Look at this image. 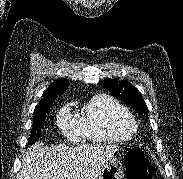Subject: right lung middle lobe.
I'll use <instances>...</instances> for the list:
<instances>
[{
	"label": "right lung middle lobe",
	"instance_id": "dd1d6c3e",
	"mask_svg": "<svg viewBox=\"0 0 183 179\" xmlns=\"http://www.w3.org/2000/svg\"><path fill=\"white\" fill-rule=\"evenodd\" d=\"M52 103L43 106H37L34 110V119L31 129V135L29 139V144L35 143L41 136V129L46 123V116L50 112V107Z\"/></svg>",
	"mask_w": 183,
	"mask_h": 179
}]
</instances>
